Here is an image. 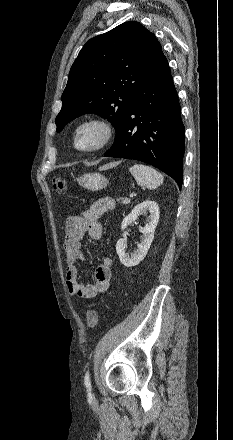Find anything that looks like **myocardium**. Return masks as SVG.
<instances>
[{"instance_id": "1", "label": "myocardium", "mask_w": 233, "mask_h": 440, "mask_svg": "<svg viewBox=\"0 0 233 440\" xmlns=\"http://www.w3.org/2000/svg\"><path fill=\"white\" fill-rule=\"evenodd\" d=\"M86 126H96L100 128V130L102 131V138L100 142L96 146L91 148H82L78 144V135L80 131ZM114 137H115L114 125L106 118L94 116L84 119L76 126L73 133V145L78 151L85 153H93V152L101 151L106 147H108L110 143L113 141Z\"/></svg>"}]
</instances>
